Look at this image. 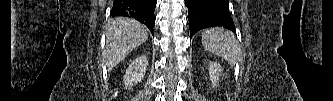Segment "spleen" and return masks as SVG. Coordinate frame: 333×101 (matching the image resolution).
I'll list each match as a JSON object with an SVG mask.
<instances>
[{"mask_svg":"<svg viewBox=\"0 0 333 101\" xmlns=\"http://www.w3.org/2000/svg\"><path fill=\"white\" fill-rule=\"evenodd\" d=\"M203 47L228 61L235 66L241 60L242 51L235 35L223 28H211L202 33Z\"/></svg>","mask_w":333,"mask_h":101,"instance_id":"obj_1","label":"spleen"}]
</instances>
